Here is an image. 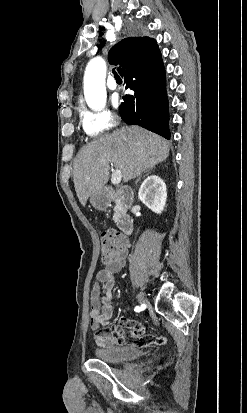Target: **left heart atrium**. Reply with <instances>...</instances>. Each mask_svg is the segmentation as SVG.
<instances>
[{
	"mask_svg": "<svg viewBox=\"0 0 247 413\" xmlns=\"http://www.w3.org/2000/svg\"><path fill=\"white\" fill-rule=\"evenodd\" d=\"M118 103H119V98H118V97H114V98H113V104H114V105H118Z\"/></svg>",
	"mask_w": 247,
	"mask_h": 413,
	"instance_id": "left-heart-atrium-1",
	"label": "left heart atrium"
}]
</instances>
